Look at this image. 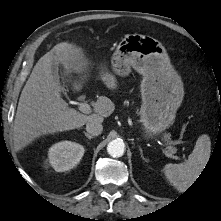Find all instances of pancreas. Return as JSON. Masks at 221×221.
<instances>
[{
  "label": "pancreas",
  "mask_w": 221,
  "mask_h": 221,
  "mask_svg": "<svg viewBox=\"0 0 221 221\" xmlns=\"http://www.w3.org/2000/svg\"><path fill=\"white\" fill-rule=\"evenodd\" d=\"M165 140L166 141H170V135H168V134H166L165 136ZM168 151L170 152V153H174V152H176V148L175 147H173V146H169L168 147Z\"/></svg>",
  "instance_id": "cf45deb5"
}]
</instances>
